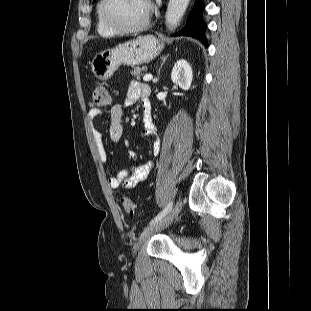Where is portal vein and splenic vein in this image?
Masks as SVG:
<instances>
[{
	"label": "portal vein and splenic vein",
	"instance_id": "obj_1",
	"mask_svg": "<svg viewBox=\"0 0 311 311\" xmlns=\"http://www.w3.org/2000/svg\"><path fill=\"white\" fill-rule=\"evenodd\" d=\"M153 79V76L151 74H146L144 77H143V80L145 82H148V81H151Z\"/></svg>",
	"mask_w": 311,
	"mask_h": 311
}]
</instances>
